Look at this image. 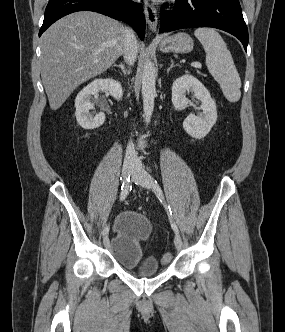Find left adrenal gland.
Instances as JSON below:
<instances>
[{
	"instance_id": "obj_1",
	"label": "left adrenal gland",
	"mask_w": 285,
	"mask_h": 332,
	"mask_svg": "<svg viewBox=\"0 0 285 332\" xmlns=\"http://www.w3.org/2000/svg\"><path fill=\"white\" fill-rule=\"evenodd\" d=\"M174 66H175V65H174V61H173V59H171V65H170V67L168 68L167 72H169L170 69H172Z\"/></svg>"
}]
</instances>
